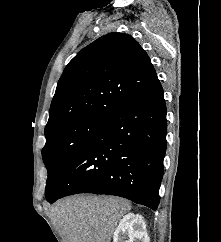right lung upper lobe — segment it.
Listing matches in <instances>:
<instances>
[{
    "instance_id": "1",
    "label": "right lung upper lobe",
    "mask_w": 221,
    "mask_h": 242,
    "mask_svg": "<svg viewBox=\"0 0 221 242\" xmlns=\"http://www.w3.org/2000/svg\"><path fill=\"white\" fill-rule=\"evenodd\" d=\"M157 79L149 56L132 36L104 35L64 69L45 132L79 119H105Z\"/></svg>"
}]
</instances>
